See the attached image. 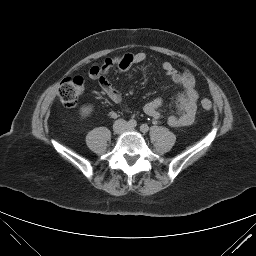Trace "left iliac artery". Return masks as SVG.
Wrapping results in <instances>:
<instances>
[{"mask_svg":"<svg viewBox=\"0 0 256 256\" xmlns=\"http://www.w3.org/2000/svg\"><path fill=\"white\" fill-rule=\"evenodd\" d=\"M148 130H149V127H148L147 124H142V125L140 126V131H141V132L146 133V132H148Z\"/></svg>","mask_w":256,"mask_h":256,"instance_id":"1","label":"left iliac artery"}]
</instances>
